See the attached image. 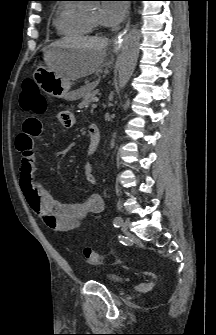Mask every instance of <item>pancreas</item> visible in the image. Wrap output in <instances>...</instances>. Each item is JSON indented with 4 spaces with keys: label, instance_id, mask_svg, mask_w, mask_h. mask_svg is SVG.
Listing matches in <instances>:
<instances>
[{
    "label": "pancreas",
    "instance_id": "pancreas-1",
    "mask_svg": "<svg viewBox=\"0 0 216 335\" xmlns=\"http://www.w3.org/2000/svg\"><path fill=\"white\" fill-rule=\"evenodd\" d=\"M98 93L97 90L92 91V87L87 85L83 88V99L79 103L78 108H88L90 103L96 100V94Z\"/></svg>",
    "mask_w": 216,
    "mask_h": 335
}]
</instances>
